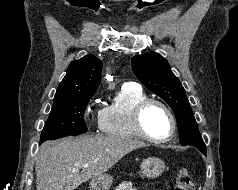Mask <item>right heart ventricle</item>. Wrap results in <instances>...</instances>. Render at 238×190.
Listing matches in <instances>:
<instances>
[{
  "label": "right heart ventricle",
  "mask_w": 238,
  "mask_h": 190,
  "mask_svg": "<svg viewBox=\"0 0 238 190\" xmlns=\"http://www.w3.org/2000/svg\"><path fill=\"white\" fill-rule=\"evenodd\" d=\"M147 98L140 87H122L116 94L114 101L102 108L98 116L100 131L107 136L139 140L132 116L138 103Z\"/></svg>",
  "instance_id": "right-heart-ventricle-1"
}]
</instances>
